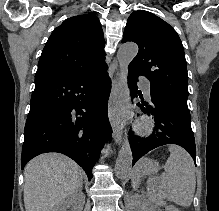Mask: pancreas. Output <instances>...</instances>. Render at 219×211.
Here are the masks:
<instances>
[{
  "mask_svg": "<svg viewBox=\"0 0 219 211\" xmlns=\"http://www.w3.org/2000/svg\"><path fill=\"white\" fill-rule=\"evenodd\" d=\"M149 199L152 203H161L162 199L156 193H149Z\"/></svg>",
  "mask_w": 219,
  "mask_h": 211,
  "instance_id": "pancreas-1",
  "label": "pancreas"
}]
</instances>
